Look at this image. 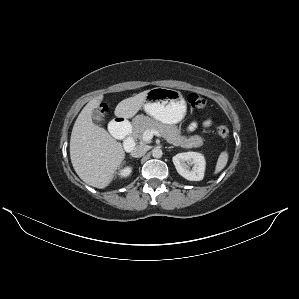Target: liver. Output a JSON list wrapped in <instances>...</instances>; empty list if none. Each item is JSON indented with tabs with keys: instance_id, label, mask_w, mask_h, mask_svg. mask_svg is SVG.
<instances>
[{
	"instance_id": "liver-1",
	"label": "liver",
	"mask_w": 299,
	"mask_h": 299,
	"mask_svg": "<svg viewBox=\"0 0 299 299\" xmlns=\"http://www.w3.org/2000/svg\"><path fill=\"white\" fill-rule=\"evenodd\" d=\"M148 90L122 100L115 108L117 117L132 118L143 106ZM103 95L93 98L82 109L72 129L70 158L77 175L88 185L103 189L114 179L125 152L104 128L95 125L92 113Z\"/></svg>"
}]
</instances>
